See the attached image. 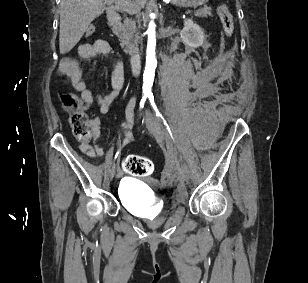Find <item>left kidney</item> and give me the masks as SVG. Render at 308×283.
I'll return each instance as SVG.
<instances>
[{"mask_svg": "<svg viewBox=\"0 0 308 283\" xmlns=\"http://www.w3.org/2000/svg\"><path fill=\"white\" fill-rule=\"evenodd\" d=\"M180 36L182 41L192 48L201 46L205 41L203 30L191 19L184 20V28Z\"/></svg>", "mask_w": 308, "mask_h": 283, "instance_id": "1", "label": "left kidney"}]
</instances>
